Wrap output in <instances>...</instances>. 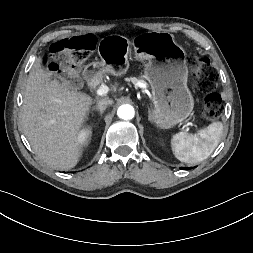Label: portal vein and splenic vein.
Segmentation results:
<instances>
[{
    "label": "portal vein and splenic vein",
    "instance_id": "portal-vein-and-splenic-vein-1",
    "mask_svg": "<svg viewBox=\"0 0 253 253\" xmlns=\"http://www.w3.org/2000/svg\"><path fill=\"white\" fill-rule=\"evenodd\" d=\"M109 91V88L106 85H101L97 90H96V95L98 96H103L106 95Z\"/></svg>",
    "mask_w": 253,
    "mask_h": 253
}]
</instances>
